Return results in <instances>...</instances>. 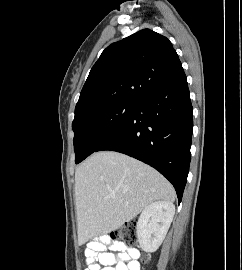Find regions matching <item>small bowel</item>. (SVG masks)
<instances>
[{
  "instance_id": "small-bowel-1",
  "label": "small bowel",
  "mask_w": 242,
  "mask_h": 270,
  "mask_svg": "<svg viewBox=\"0 0 242 270\" xmlns=\"http://www.w3.org/2000/svg\"><path fill=\"white\" fill-rule=\"evenodd\" d=\"M87 254L89 264L86 270H140L138 249L111 241L107 236L90 243Z\"/></svg>"
}]
</instances>
